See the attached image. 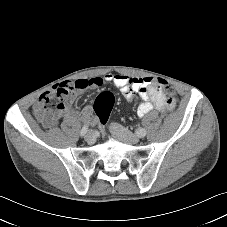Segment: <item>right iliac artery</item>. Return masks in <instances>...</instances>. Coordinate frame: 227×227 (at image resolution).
<instances>
[{"label":"right iliac artery","instance_id":"right-iliac-artery-1","mask_svg":"<svg viewBox=\"0 0 227 227\" xmlns=\"http://www.w3.org/2000/svg\"><path fill=\"white\" fill-rule=\"evenodd\" d=\"M87 131H88V124H85L81 129L80 135L84 136L87 133Z\"/></svg>","mask_w":227,"mask_h":227}]
</instances>
